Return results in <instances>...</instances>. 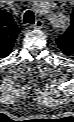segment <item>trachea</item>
Wrapping results in <instances>:
<instances>
[{
  "label": "trachea",
  "instance_id": "3493384b",
  "mask_svg": "<svg viewBox=\"0 0 74 122\" xmlns=\"http://www.w3.org/2000/svg\"><path fill=\"white\" fill-rule=\"evenodd\" d=\"M23 21L25 24H34L35 15H34L33 11H31V10L26 11L24 14Z\"/></svg>",
  "mask_w": 74,
  "mask_h": 122
}]
</instances>
